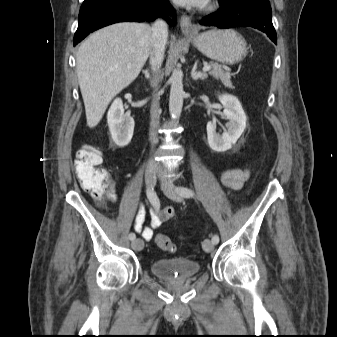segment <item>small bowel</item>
Instances as JSON below:
<instances>
[{
	"label": "small bowel",
	"instance_id": "obj_1",
	"mask_svg": "<svg viewBox=\"0 0 337 337\" xmlns=\"http://www.w3.org/2000/svg\"><path fill=\"white\" fill-rule=\"evenodd\" d=\"M250 172L248 169L241 168H228L221 174V180L224 185L232 189L241 188L244 182L249 178ZM107 197L110 201H117L116 194V182L112 181L110 190ZM174 210L172 208H165L159 210V208L153 207L151 209V223L149 226H145V209L140 205L138 213L135 217L134 229L139 233L145 241H151L154 238V231L160 227L166 221L174 218Z\"/></svg>",
	"mask_w": 337,
	"mask_h": 337
}]
</instances>
